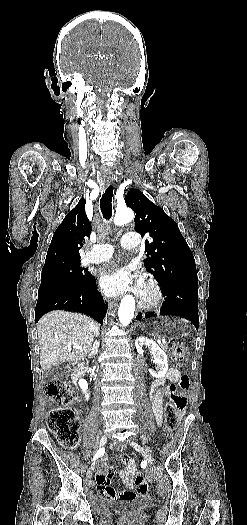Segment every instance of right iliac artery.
Masks as SVG:
<instances>
[{
	"label": "right iliac artery",
	"mask_w": 247,
	"mask_h": 525,
	"mask_svg": "<svg viewBox=\"0 0 247 525\" xmlns=\"http://www.w3.org/2000/svg\"><path fill=\"white\" fill-rule=\"evenodd\" d=\"M105 453V449L104 448H100L97 453L95 454L93 460H96L98 457H100L101 455H103Z\"/></svg>",
	"instance_id": "right-iliac-artery-1"
}]
</instances>
